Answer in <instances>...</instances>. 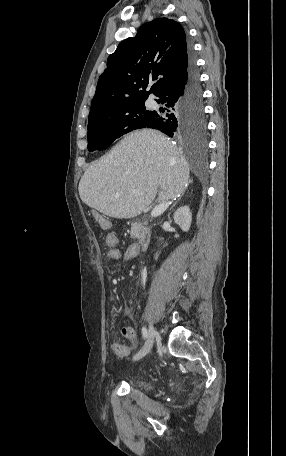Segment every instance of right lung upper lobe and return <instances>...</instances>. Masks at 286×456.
<instances>
[{
    "mask_svg": "<svg viewBox=\"0 0 286 456\" xmlns=\"http://www.w3.org/2000/svg\"><path fill=\"white\" fill-rule=\"evenodd\" d=\"M190 60L191 50L178 22L158 18L145 23L108 57L88 121L110 107L143 101L149 94L158 96L186 76Z\"/></svg>",
    "mask_w": 286,
    "mask_h": 456,
    "instance_id": "obj_1",
    "label": "right lung upper lobe"
}]
</instances>
